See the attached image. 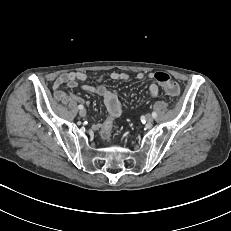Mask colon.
Masks as SVG:
<instances>
[{"instance_id": "colon-1", "label": "colon", "mask_w": 231, "mask_h": 231, "mask_svg": "<svg viewBox=\"0 0 231 231\" xmlns=\"http://www.w3.org/2000/svg\"><path fill=\"white\" fill-rule=\"evenodd\" d=\"M154 79L163 86L167 94L171 96H177L180 93L179 85L171 80L169 74L165 72H156L154 74ZM111 128V124H107L102 128V135L104 138L109 137Z\"/></svg>"}]
</instances>
